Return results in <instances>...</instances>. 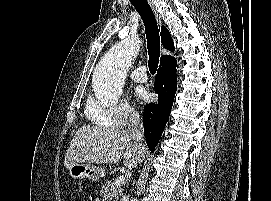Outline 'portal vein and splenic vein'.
I'll use <instances>...</instances> for the list:
<instances>
[{
	"instance_id": "portal-vein-and-splenic-vein-1",
	"label": "portal vein and splenic vein",
	"mask_w": 271,
	"mask_h": 201,
	"mask_svg": "<svg viewBox=\"0 0 271 201\" xmlns=\"http://www.w3.org/2000/svg\"><path fill=\"white\" fill-rule=\"evenodd\" d=\"M125 182V177L123 175H120L119 177H117V179L115 180V184L116 185H123Z\"/></svg>"
}]
</instances>
